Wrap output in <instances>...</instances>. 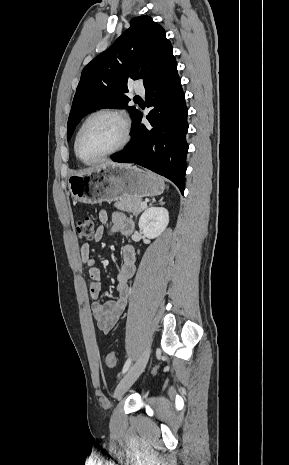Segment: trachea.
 Instances as JSON below:
<instances>
[{
	"mask_svg": "<svg viewBox=\"0 0 289 465\" xmlns=\"http://www.w3.org/2000/svg\"><path fill=\"white\" fill-rule=\"evenodd\" d=\"M140 97L139 96H135V99H139Z\"/></svg>",
	"mask_w": 289,
	"mask_h": 465,
	"instance_id": "3493384b",
	"label": "trachea"
}]
</instances>
